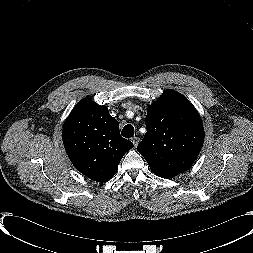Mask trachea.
<instances>
[{"mask_svg":"<svg viewBox=\"0 0 253 253\" xmlns=\"http://www.w3.org/2000/svg\"><path fill=\"white\" fill-rule=\"evenodd\" d=\"M122 136L125 138L133 137L134 135V127L130 124L125 125L121 132Z\"/></svg>","mask_w":253,"mask_h":253,"instance_id":"1","label":"trachea"}]
</instances>
